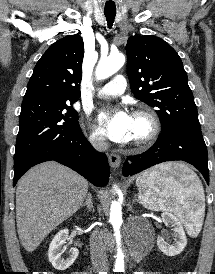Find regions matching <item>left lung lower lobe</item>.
<instances>
[{"mask_svg": "<svg viewBox=\"0 0 215 274\" xmlns=\"http://www.w3.org/2000/svg\"><path fill=\"white\" fill-rule=\"evenodd\" d=\"M181 160L192 164L209 184L208 154L201 131L173 128L161 131L155 144L139 155L128 156L123 165L125 177L153 165Z\"/></svg>", "mask_w": 215, "mask_h": 274, "instance_id": "1", "label": "left lung lower lobe"}]
</instances>
